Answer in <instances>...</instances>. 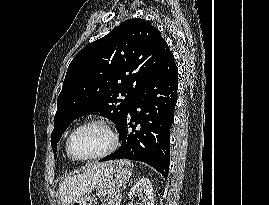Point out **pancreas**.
Masks as SVG:
<instances>
[{
	"mask_svg": "<svg viewBox=\"0 0 269 205\" xmlns=\"http://www.w3.org/2000/svg\"><path fill=\"white\" fill-rule=\"evenodd\" d=\"M119 202H120L119 196L115 195L107 203H105L103 205H119Z\"/></svg>",
	"mask_w": 269,
	"mask_h": 205,
	"instance_id": "cf45deb5",
	"label": "pancreas"
}]
</instances>
